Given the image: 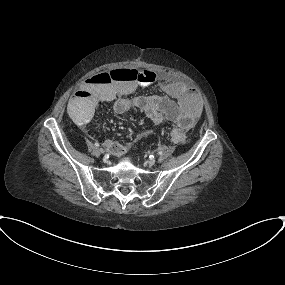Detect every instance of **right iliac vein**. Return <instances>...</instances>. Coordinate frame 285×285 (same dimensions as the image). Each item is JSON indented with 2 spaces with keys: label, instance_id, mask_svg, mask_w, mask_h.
Segmentation results:
<instances>
[{
  "label": "right iliac vein",
  "instance_id": "right-iliac-vein-1",
  "mask_svg": "<svg viewBox=\"0 0 285 285\" xmlns=\"http://www.w3.org/2000/svg\"><path fill=\"white\" fill-rule=\"evenodd\" d=\"M97 151L100 153V154H103L105 152V150L103 148H98Z\"/></svg>",
  "mask_w": 285,
  "mask_h": 285
}]
</instances>
